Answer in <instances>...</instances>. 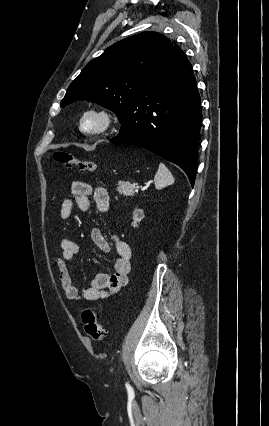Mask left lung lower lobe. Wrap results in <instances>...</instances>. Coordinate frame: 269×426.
<instances>
[{"instance_id":"obj_1","label":"left lung lower lobe","mask_w":269,"mask_h":426,"mask_svg":"<svg viewBox=\"0 0 269 426\" xmlns=\"http://www.w3.org/2000/svg\"><path fill=\"white\" fill-rule=\"evenodd\" d=\"M201 100L190 62L177 46L126 109L113 143L137 145L177 164L194 185Z\"/></svg>"}]
</instances>
